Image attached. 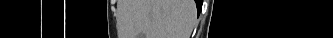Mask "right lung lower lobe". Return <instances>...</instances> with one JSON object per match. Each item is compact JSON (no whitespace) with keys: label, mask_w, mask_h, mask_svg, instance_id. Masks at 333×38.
I'll use <instances>...</instances> for the list:
<instances>
[{"label":"right lung lower lobe","mask_w":333,"mask_h":38,"mask_svg":"<svg viewBox=\"0 0 333 38\" xmlns=\"http://www.w3.org/2000/svg\"><path fill=\"white\" fill-rule=\"evenodd\" d=\"M195 1H196V0H195ZM196 4H197V7H198V5L200 6V3H199V2H197V1H196Z\"/></svg>","instance_id":"98d812e1"}]
</instances>
